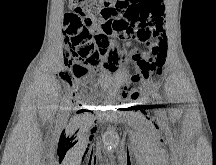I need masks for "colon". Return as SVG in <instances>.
<instances>
[{"mask_svg":"<svg viewBox=\"0 0 216 165\" xmlns=\"http://www.w3.org/2000/svg\"><path fill=\"white\" fill-rule=\"evenodd\" d=\"M131 2L136 0H70L71 10L64 17V60L103 73L108 68L111 44L109 38L93 26V15L101 13V8L115 10L117 5H131ZM141 40L147 42L145 48L132 46V57L138 61L145 77L164 64L167 41L163 23L148 25L141 32Z\"/></svg>","mask_w":216,"mask_h":165,"instance_id":"5ec220e1","label":"colon"}]
</instances>
